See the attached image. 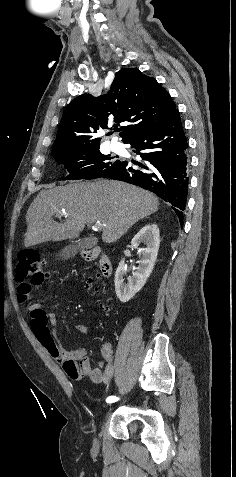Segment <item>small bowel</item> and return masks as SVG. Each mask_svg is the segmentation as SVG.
<instances>
[{
    "label": "small bowel",
    "mask_w": 236,
    "mask_h": 477,
    "mask_svg": "<svg viewBox=\"0 0 236 477\" xmlns=\"http://www.w3.org/2000/svg\"><path fill=\"white\" fill-rule=\"evenodd\" d=\"M28 312L34 336L70 378L80 381L88 377L94 383H110L114 374L113 349L110 343H105L101 349L102 357L106 361L104 371L92 368L85 346H78L70 350L60 344L55 331L57 321L55 313L45 311L40 303L29 304ZM74 332L79 335H87L89 327L76 325Z\"/></svg>",
    "instance_id": "c3829d8e"
}]
</instances>
